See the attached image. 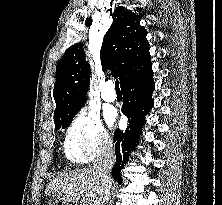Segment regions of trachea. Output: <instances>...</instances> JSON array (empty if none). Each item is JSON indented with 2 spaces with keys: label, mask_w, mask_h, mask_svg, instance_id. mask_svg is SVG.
Segmentation results:
<instances>
[{
  "label": "trachea",
  "mask_w": 222,
  "mask_h": 205,
  "mask_svg": "<svg viewBox=\"0 0 222 205\" xmlns=\"http://www.w3.org/2000/svg\"><path fill=\"white\" fill-rule=\"evenodd\" d=\"M115 89L116 90H120V88H119V81L118 80L115 81Z\"/></svg>",
  "instance_id": "3493384b"
}]
</instances>
